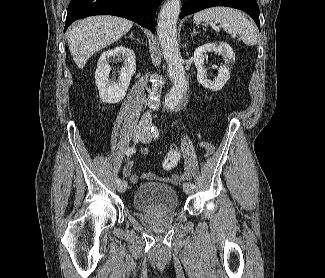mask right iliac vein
I'll use <instances>...</instances> for the list:
<instances>
[{
  "label": "right iliac vein",
  "instance_id": "1",
  "mask_svg": "<svg viewBox=\"0 0 325 278\" xmlns=\"http://www.w3.org/2000/svg\"><path fill=\"white\" fill-rule=\"evenodd\" d=\"M145 134V130L141 127H138L133 133V141L138 142ZM117 189L119 192H125L127 189V182L122 181L118 184Z\"/></svg>",
  "mask_w": 325,
  "mask_h": 278
}]
</instances>
